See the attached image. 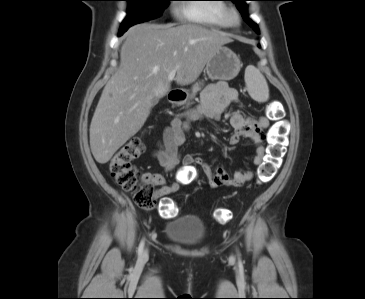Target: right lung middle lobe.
Instances as JSON below:
<instances>
[{"label": "right lung middle lobe", "mask_w": 365, "mask_h": 299, "mask_svg": "<svg viewBox=\"0 0 365 299\" xmlns=\"http://www.w3.org/2000/svg\"><path fill=\"white\" fill-rule=\"evenodd\" d=\"M128 2L127 16L121 27H130L134 24L159 17L171 0H125ZM120 27V28H121Z\"/></svg>", "instance_id": "obj_1"}]
</instances>
